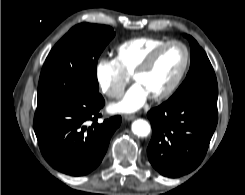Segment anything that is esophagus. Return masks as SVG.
Returning a JSON list of instances; mask_svg holds the SVG:
<instances>
[{"mask_svg":"<svg viewBox=\"0 0 245 195\" xmlns=\"http://www.w3.org/2000/svg\"><path fill=\"white\" fill-rule=\"evenodd\" d=\"M124 118L125 120L131 121V120H134L136 116L135 115H125Z\"/></svg>","mask_w":245,"mask_h":195,"instance_id":"obj_1","label":"esophagus"}]
</instances>
